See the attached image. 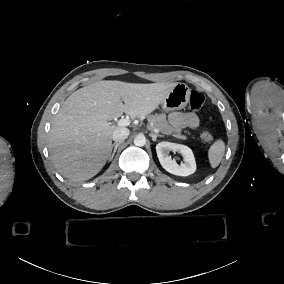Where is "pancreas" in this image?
I'll return each mask as SVG.
<instances>
[{
	"label": "pancreas",
	"instance_id": "obj_1",
	"mask_svg": "<svg viewBox=\"0 0 284 284\" xmlns=\"http://www.w3.org/2000/svg\"><path fill=\"white\" fill-rule=\"evenodd\" d=\"M149 130H159L164 135H172L173 137L179 138V139H187L188 136L182 134L179 130H176L171 126L167 121L166 115L161 116H153L149 118Z\"/></svg>",
	"mask_w": 284,
	"mask_h": 284
}]
</instances>
